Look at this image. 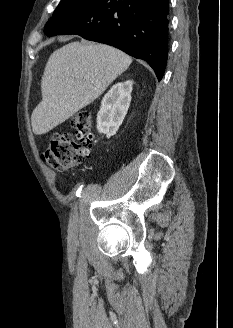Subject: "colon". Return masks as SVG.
<instances>
[{
	"instance_id": "1",
	"label": "colon",
	"mask_w": 233,
	"mask_h": 328,
	"mask_svg": "<svg viewBox=\"0 0 233 328\" xmlns=\"http://www.w3.org/2000/svg\"><path fill=\"white\" fill-rule=\"evenodd\" d=\"M71 125L75 135L63 131L55 133L42 155L47 165L56 170L69 169L90 155L94 142L90 113L78 112L72 117Z\"/></svg>"
}]
</instances>
